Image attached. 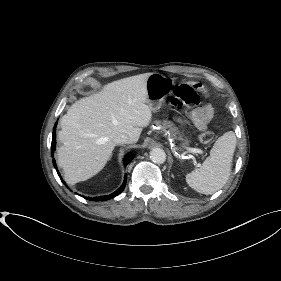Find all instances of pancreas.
Masks as SVG:
<instances>
[{
    "instance_id": "pancreas-1",
    "label": "pancreas",
    "mask_w": 281,
    "mask_h": 281,
    "mask_svg": "<svg viewBox=\"0 0 281 281\" xmlns=\"http://www.w3.org/2000/svg\"><path fill=\"white\" fill-rule=\"evenodd\" d=\"M156 124L163 130V131H167L170 133L171 137L173 139H179V133L177 131V128L174 126L173 123L171 122H167V121H156Z\"/></svg>"
}]
</instances>
